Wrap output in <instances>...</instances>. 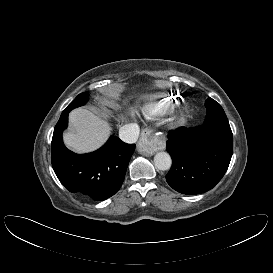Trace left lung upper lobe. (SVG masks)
Returning a JSON list of instances; mask_svg holds the SVG:
<instances>
[{"label": "left lung upper lobe", "mask_w": 273, "mask_h": 273, "mask_svg": "<svg viewBox=\"0 0 273 273\" xmlns=\"http://www.w3.org/2000/svg\"><path fill=\"white\" fill-rule=\"evenodd\" d=\"M205 107L207 109L206 117H225L226 116L220 104L210 97L205 101Z\"/></svg>", "instance_id": "1"}]
</instances>
